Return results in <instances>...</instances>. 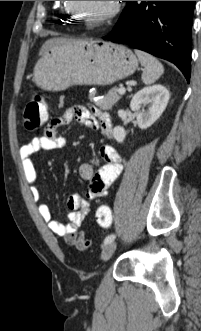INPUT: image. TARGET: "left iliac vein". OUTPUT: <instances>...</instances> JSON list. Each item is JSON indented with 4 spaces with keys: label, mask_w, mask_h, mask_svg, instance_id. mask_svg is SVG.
I'll list each match as a JSON object with an SVG mask.
<instances>
[{
    "label": "left iliac vein",
    "mask_w": 201,
    "mask_h": 331,
    "mask_svg": "<svg viewBox=\"0 0 201 331\" xmlns=\"http://www.w3.org/2000/svg\"><path fill=\"white\" fill-rule=\"evenodd\" d=\"M115 250H116L115 242H111V243L105 245V247L103 248V251H102V255H101L102 260L107 261L113 255Z\"/></svg>",
    "instance_id": "1"
}]
</instances>
